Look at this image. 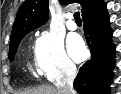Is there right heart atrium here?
I'll use <instances>...</instances> for the list:
<instances>
[{"label":"right heart atrium","instance_id":"right-heart-atrium-1","mask_svg":"<svg viewBox=\"0 0 121 94\" xmlns=\"http://www.w3.org/2000/svg\"><path fill=\"white\" fill-rule=\"evenodd\" d=\"M33 54L37 71L50 80L70 78L76 73V66L65 51L61 36L53 31L39 34Z\"/></svg>","mask_w":121,"mask_h":94}]
</instances>
